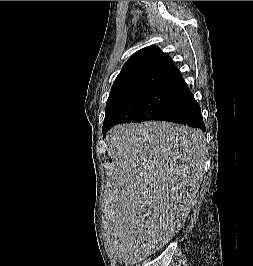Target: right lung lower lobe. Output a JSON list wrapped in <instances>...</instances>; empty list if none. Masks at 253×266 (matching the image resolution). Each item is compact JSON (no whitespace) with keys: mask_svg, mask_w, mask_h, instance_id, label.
Listing matches in <instances>:
<instances>
[{"mask_svg":"<svg viewBox=\"0 0 253 266\" xmlns=\"http://www.w3.org/2000/svg\"><path fill=\"white\" fill-rule=\"evenodd\" d=\"M158 120L172 121L179 124L200 128L205 131V124L201 115V109L193 94L189 90L184 79L174 85L170 104L167 111ZM122 122H114L103 128V134L114 125Z\"/></svg>","mask_w":253,"mask_h":266,"instance_id":"1","label":"right lung lower lobe"}]
</instances>
